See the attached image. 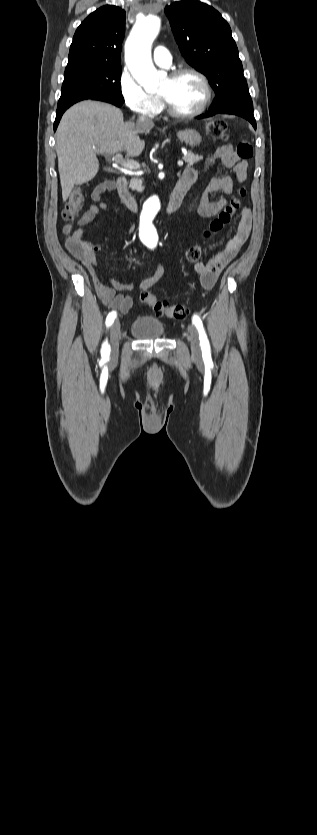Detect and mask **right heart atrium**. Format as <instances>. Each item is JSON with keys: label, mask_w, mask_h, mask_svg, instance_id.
Instances as JSON below:
<instances>
[{"label": "right heart atrium", "mask_w": 317, "mask_h": 835, "mask_svg": "<svg viewBox=\"0 0 317 835\" xmlns=\"http://www.w3.org/2000/svg\"><path fill=\"white\" fill-rule=\"evenodd\" d=\"M118 85L124 103L137 115L153 118L161 112V100L147 93L128 69L120 73Z\"/></svg>", "instance_id": "d8ad5b80"}]
</instances>
